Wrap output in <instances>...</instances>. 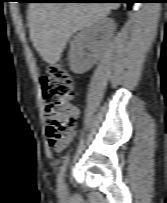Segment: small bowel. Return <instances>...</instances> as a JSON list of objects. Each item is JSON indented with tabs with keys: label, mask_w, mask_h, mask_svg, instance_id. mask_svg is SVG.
I'll list each match as a JSON object with an SVG mask.
<instances>
[{
	"label": "small bowel",
	"mask_w": 167,
	"mask_h": 203,
	"mask_svg": "<svg viewBox=\"0 0 167 203\" xmlns=\"http://www.w3.org/2000/svg\"><path fill=\"white\" fill-rule=\"evenodd\" d=\"M77 114H78V112H77ZM69 142H70V137L69 136L64 137L55 146H53V147L51 146V147L56 153H61L67 148Z\"/></svg>",
	"instance_id": "1"
}]
</instances>
